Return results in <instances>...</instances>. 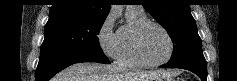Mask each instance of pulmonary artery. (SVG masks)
I'll use <instances>...</instances> for the list:
<instances>
[{"instance_id": "pulmonary-artery-1", "label": "pulmonary artery", "mask_w": 237, "mask_h": 81, "mask_svg": "<svg viewBox=\"0 0 237 81\" xmlns=\"http://www.w3.org/2000/svg\"><path fill=\"white\" fill-rule=\"evenodd\" d=\"M127 10H136V11H144L140 6H128Z\"/></svg>"}]
</instances>
